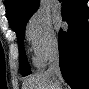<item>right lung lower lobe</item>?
Returning <instances> with one entry per match:
<instances>
[{
  "label": "right lung lower lobe",
  "instance_id": "obj_1",
  "mask_svg": "<svg viewBox=\"0 0 89 89\" xmlns=\"http://www.w3.org/2000/svg\"><path fill=\"white\" fill-rule=\"evenodd\" d=\"M62 18L69 25L59 32V63L64 80L72 89L88 88L87 0H64Z\"/></svg>",
  "mask_w": 89,
  "mask_h": 89
}]
</instances>
